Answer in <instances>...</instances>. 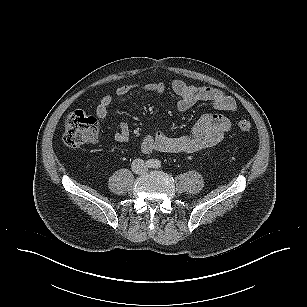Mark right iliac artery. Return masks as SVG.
<instances>
[{
    "instance_id": "82829eb1",
    "label": "right iliac artery",
    "mask_w": 307,
    "mask_h": 307,
    "mask_svg": "<svg viewBox=\"0 0 307 307\" xmlns=\"http://www.w3.org/2000/svg\"><path fill=\"white\" fill-rule=\"evenodd\" d=\"M154 166V160L149 159L146 161V167L152 168Z\"/></svg>"
}]
</instances>
